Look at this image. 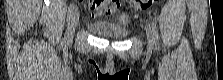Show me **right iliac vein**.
Listing matches in <instances>:
<instances>
[{
  "label": "right iliac vein",
  "instance_id": "1",
  "mask_svg": "<svg viewBox=\"0 0 223 80\" xmlns=\"http://www.w3.org/2000/svg\"><path fill=\"white\" fill-rule=\"evenodd\" d=\"M79 21V12L78 11H74L72 18H71V23L69 26V30H68V36H67V40L71 39L73 36V33L75 31V28L78 24Z\"/></svg>",
  "mask_w": 223,
  "mask_h": 80
}]
</instances>
